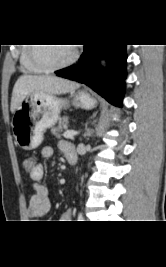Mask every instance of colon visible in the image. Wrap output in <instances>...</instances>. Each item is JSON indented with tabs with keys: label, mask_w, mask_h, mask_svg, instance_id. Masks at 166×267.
<instances>
[{
	"label": "colon",
	"mask_w": 166,
	"mask_h": 267,
	"mask_svg": "<svg viewBox=\"0 0 166 267\" xmlns=\"http://www.w3.org/2000/svg\"><path fill=\"white\" fill-rule=\"evenodd\" d=\"M35 166V160L33 158H27L23 162V167L26 171H31Z\"/></svg>",
	"instance_id": "1"
}]
</instances>
